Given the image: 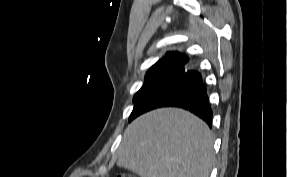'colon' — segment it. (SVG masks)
Returning <instances> with one entry per match:
<instances>
[{"instance_id": "5ec220e1", "label": "colon", "mask_w": 287, "mask_h": 177, "mask_svg": "<svg viewBox=\"0 0 287 177\" xmlns=\"http://www.w3.org/2000/svg\"><path fill=\"white\" fill-rule=\"evenodd\" d=\"M117 177H134V176L123 174V175H118Z\"/></svg>"}]
</instances>
